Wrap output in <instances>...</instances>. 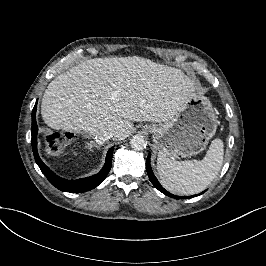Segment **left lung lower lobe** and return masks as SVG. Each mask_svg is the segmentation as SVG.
<instances>
[{
	"instance_id": "0a47b994",
	"label": "left lung lower lobe",
	"mask_w": 266,
	"mask_h": 266,
	"mask_svg": "<svg viewBox=\"0 0 266 266\" xmlns=\"http://www.w3.org/2000/svg\"><path fill=\"white\" fill-rule=\"evenodd\" d=\"M146 170H147V173H148V176L152 182V184L159 190L161 191L162 193H164L165 195L171 197V198H175V199H185V198H188V197H180V196H175L169 192H167L161 185L160 183L158 182V180L156 179L153 171H152V168H151V165H150V155H148L147 157V160H146ZM205 192V191H204ZM202 192V193H204ZM199 194L197 195H194V196H198ZM193 196H191L192 198Z\"/></svg>"
}]
</instances>
